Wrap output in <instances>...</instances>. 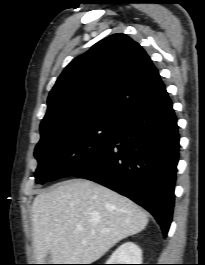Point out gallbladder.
Returning <instances> with one entry per match:
<instances>
[{
    "instance_id": "1",
    "label": "gallbladder",
    "mask_w": 205,
    "mask_h": 265,
    "mask_svg": "<svg viewBox=\"0 0 205 265\" xmlns=\"http://www.w3.org/2000/svg\"><path fill=\"white\" fill-rule=\"evenodd\" d=\"M45 261H51V255L48 253L45 257Z\"/></svg>"
}]
</instances>
